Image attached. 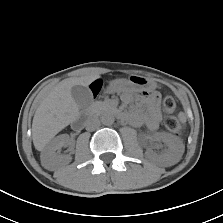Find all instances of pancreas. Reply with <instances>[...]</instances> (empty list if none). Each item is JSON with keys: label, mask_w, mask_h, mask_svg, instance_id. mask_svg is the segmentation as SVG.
<instances>
[{"label": "pancreas", "mask_w": 223, "mask_h": 223, "mask_svg": "<svg viewBox=\"0 0 223 223\" xmlns=\"http://www.w3.org/2000/svg\"><path fill=\"white\" fill-rule=\"evenodd\" d=\"M90 109L93 113L100 114L102 112L110 110L111 105L108 101H103V102L102 101H96V102L92 103Z\"/></svg>", "instance_id": "obj_1"}]
</instances>
